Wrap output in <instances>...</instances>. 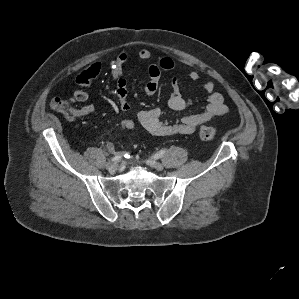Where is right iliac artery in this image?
<instances>
[{"label": "right iliac artery", "instance_id": "obj_1", "mask_svg": "<svg viewBox=\"0 0 299 299\" xmlns=\"http://www.w3.org/2000/svg\"><path fill=\"white\" fill-rule=\"evenodd\" d=\"M120 159H121V156H120V155H116V156H114V157L111 158V160H112L113 162H115V163L119 162Z\"/></svg>", "mask_w": 299, "mask_h": 299}]
</instances>
